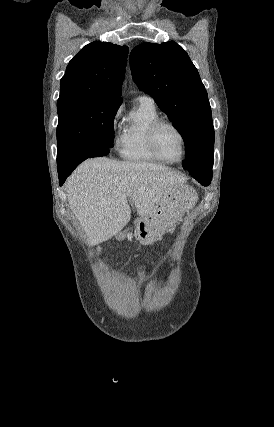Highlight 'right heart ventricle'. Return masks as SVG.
<instances>
[{"label": "right heart ventricle", "mask_w": 274, "mask_h": 427, "mask_svg": "<svg viewBox=\"0 0 274 427\" xmlns=\"http://www.w3.org/2000/svg\"><path fill=\"white\" fill-rule=\"evenodd\" d=\"M159 120L155 107L139 105L129 116L118 141L121 158L138 163L159 164L161 161L150 151L147 142L148 131Z\"/></svg>", "instance_id": "1"}]
</instances>
